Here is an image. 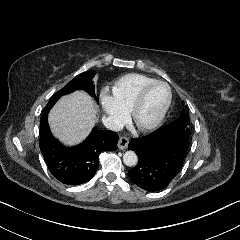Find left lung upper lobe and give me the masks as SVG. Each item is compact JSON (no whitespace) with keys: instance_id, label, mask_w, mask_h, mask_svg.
<instances>
[{"instance_id":"1","label":"left lung upper lobe","mask_w":240,"mask_h":240,"mask_svg":"<svg viewBox=\"0 0 240 240\" xmlns=\"http://www.w3.org/2000/svg\"><path fill=\"white\" fill-rule=\"evenodd\" d=\"M175 125L184 127L189 130V125H190V118H189V110L188 107H185L183 111L181 112V115L176 119L175 121L172 122Z\"/></svg>"}]
</instances>
